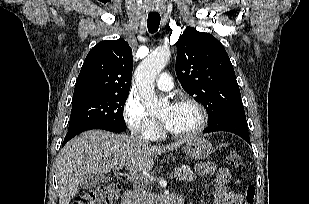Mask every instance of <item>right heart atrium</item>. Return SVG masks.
Segmentation results:
<instances>
[{"instance_id": "obj_1", "label": "right heart atrium", "mask_w": 309, "mask_h": 204, "mask_svg": "<svg viewBox=\"0 0 309 204\" xmlns=\"http://www.w3.org/2000/svg\"><path fill=\"white\" fill-rule=\"evenodd\" d=\"M124 118L130 130L144 139L153 140L160 133L158 121L152 118L143 104L133 96H129L125 102Z\"/></svg>"}]
</instances>
